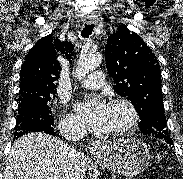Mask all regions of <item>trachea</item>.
<instances>
[{
  "label": "trachea",
  "instance_id": "1",
  "mask_svg": "<svg viewBox=\"0 0 183 179\" xmlns=\"http://www.w3.org/2000/svg\"><path fill=\"white\" fill-rule=\"evenodd\" d=\"M93 29H94L93 24H89V25L85 24V27L83 28L81 33L82 37H88L89 35H91Z\"/></svg>",
  "mask_w": 183,
  "mask_h": 179
}]
</instances>
